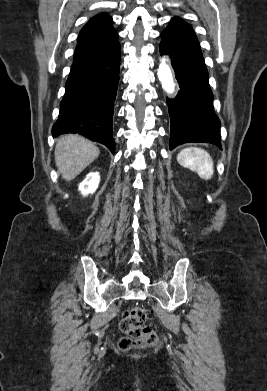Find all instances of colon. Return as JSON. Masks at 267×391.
Wrapping results in <instances>:
<instances>
[{
	"mask_svg": "<svg viewBox=\"0 0 267 391\" xmlns=\"http://www.w3.org/2000/svg\"><path fill=\"white\" fill-rule=\"evenodd\" d=\"M151 317V311L138 306L125 312L119 323L120 330L124 334L118 342L120 351L153 346L157 343L158 336L155 330L153 327L145 325L146 320Z\"/></svg>",
	"mask_w": 267,
	"mask_h": 391,
	"instance_id": "colon-1",
	"label": "colon"
}]
</instances>
